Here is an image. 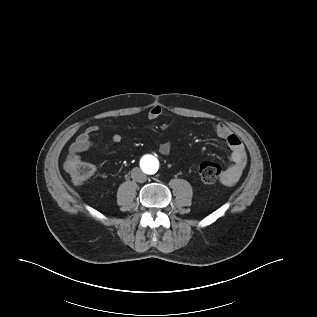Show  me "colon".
Returning a JSON list of instances; mask_svg holds the SVG:
<instances>
[{
  "label": "colon",
  "instance_id": "obj_1",
  "mask_svg": "<svg viewBox=\"0 0 317 317\" xmlns=\"http://www.w3.org/2000/svg\"><path fill=\"white\" fill-rule=\"evenodd\" d=\"M67 171L73 183L82 184L94 173V166L84 161H68ZM221 173L220 166L215 162H202L198 167V174L201 181L205 184L214 183Z\"/></svg>",
  "mask_w": 317,
  "mask_h": 317
}]
</instances>
